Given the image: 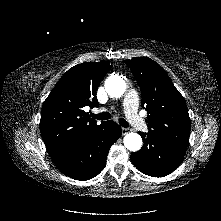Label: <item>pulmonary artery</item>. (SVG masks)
Returning <instances> with one entry per match:
<instances>
[{"label":"pulmonary artery","instance_id":"obj_1","mask_svg":"<svg viewBox=\"0 0 221 221\" xmlns=\"http://www.w3.org/2000/svg\"><path fill=\"white\" fill-rule=\"evenodd\" d=\"M139 104L138 93L135 90H130L123 100V107L127 119L137 130H146V124L137 113Z\"/></svg>","mask_w":221,"mask_h":221}]
</instances>
